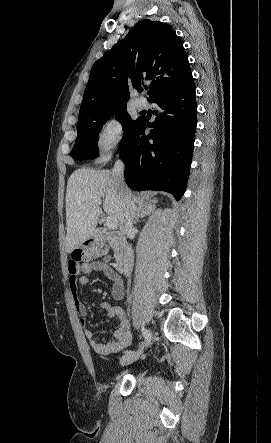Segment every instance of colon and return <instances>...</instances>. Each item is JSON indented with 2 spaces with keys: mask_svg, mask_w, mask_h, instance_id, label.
I'll return each mask as SVG.
<instances>
[{
  "mask_svg": "<svg viewBox=\"0 0 271 443\" xmlns=\"http://www.w3.org/2000/svg\"><path fill=\"white\" fill-rule=\"evenodd\" d=\"M107 252L106 246L100 240H88L76 248L71 261L74 264L87 263L103 257Z\"/></svg>",
  "mask_w": 271,
  "mask_h": 443,
  "instance_id": "1",
  "label": "colon"
}]
</instances>
